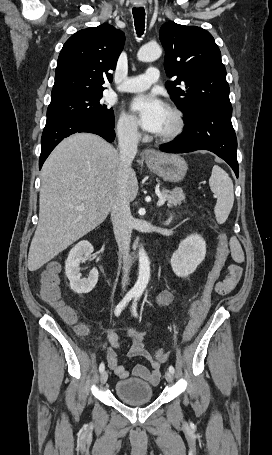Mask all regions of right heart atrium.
<instances>
[{
  "mask_svg": "<svg viewBox=\"0 0 272 455\" xmlns=\"http://www.w3.org/2000/svg\"><path fill=\"white\" fill-rule=\"evenodd\" d=\"M116 131L118 137L126 143H136L140 139V133L135 121L125 113L119 115Z\"/></svg>",
  "mask_w": 272,
  "mask_h": 455,
  "instance_id": "obj_1",
  "label": "right heart atrium"
}]
</instances>
